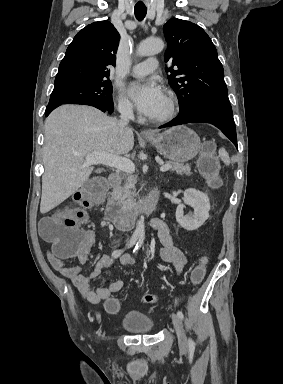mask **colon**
Wrapping results in <instances>:
<instances>
[{"instance_id": "obj_1", "label": "colon", "mask_w": 283, "mask_h": 384, "mask_svg": "<svg viewBox=\"0 0 283 384\" xmlns=\"http://www.w3.org/2000/svg\"><path fill=\"white\" fill-rule=\"evenodd\" d=\"M197 166L212 187L220 185L219 164L214 144H205L198 157ZM106 191V182L100 177H94L74 196L75 206L64 214L49 216L42 220L40 233L45 240L53 244V250L59 257H77L88 247L91 235L84 229L87 223V209L101 204ZM206 263L207 259L202 258L193 269L191 281L194 285L204 279ZM156 300L157 297L153 294L144 295V301L147 303H154ZM104 307L107 312L115 313L120 309V302L117 298L111 297L105 301Z\"/></svg>"}]
</instances>
